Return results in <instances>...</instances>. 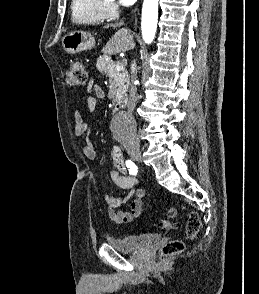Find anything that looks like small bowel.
Segmentation results:
<instances>
[{"label": "small bowel", "mask_w": 259, "mask_h": 294, "mask_svg": "<svg viewBox=\"0 0 259 294\" xmlns=\"http://www.w3.org/2000/svg\"><path fill=\"white\" fill-rule=\"evenodd\" d=\"M87 90L90 93L94 92V96L87 98L88 109L94 111L98 99H102L105 93L100 86L94 85L93 83L88 85ZM73 119L75 134L77 136L89 135L90 126L84 121L80 110L74 111ZM81 152L87 159L93 160L96 157V150L89 139H86L82 144ZM110 155L116 167L115 171L110 172V178L117 187L128 192L117 196L106 194L104 201L108 207L109 218L116 224H127L140 216L145 192L141 188H136L139 180L127 174V168L121 153L117 149H114L110 151ZM129 200L131 201L130 211L119 209L122 204Z\"/></svg>", "instance_id": "c3829d8e"}]
</instances>
